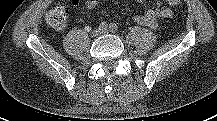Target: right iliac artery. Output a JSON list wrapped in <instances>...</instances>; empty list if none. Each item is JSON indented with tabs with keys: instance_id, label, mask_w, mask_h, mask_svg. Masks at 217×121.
I'll return each mask as SVG.
<instances>
[{
	"instance_id": "1",
	"label": "right iliac artery",
	"mask_w": 217,
	"mask_h": 121,
	"mask_svg": "<svg viewBox=\"0 0 217 121\" xmlns=\"http://www.w3.org/2000/svg\"><path fill=\"white\" fill-rule=\"evenodd\" d=\"M107 23L106 22H102L100 25H99V29L100 30H106L107 29Z\"/></svg>"
}]
</instances>
